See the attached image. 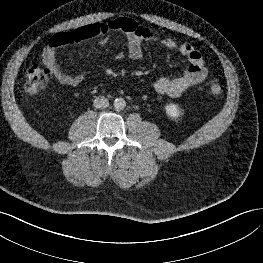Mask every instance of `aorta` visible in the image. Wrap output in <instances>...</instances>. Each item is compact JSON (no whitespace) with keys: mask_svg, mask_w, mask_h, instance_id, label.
Returning a JSON list of instances; mask_svg holds the SVG:
<instances>
[{"mask_svg":"<svg viewBox=\"0 0 263 263\" xmlns=\"http://www.w3.org/2000/svg\"><path fill=\"white\" fill-rule=\"evenodd\" d=\"M126 106V102L123 98H116L114 100V108L116 110H123Z\"/></svg>","mask_w":263,"mask_h":263,"instance_id":"1","label":"aorta"}]
</instances>
